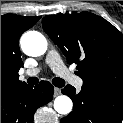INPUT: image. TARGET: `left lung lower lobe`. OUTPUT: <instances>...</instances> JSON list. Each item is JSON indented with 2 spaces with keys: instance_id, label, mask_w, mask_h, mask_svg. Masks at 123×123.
Segmentation results:
<instances>
[{
  "instance_id": "left-lung-lower-lobe-1",
  "label": "left lung lower lobe",
  "mask_w": 123,
  "mask_h": 123,
  "mask_svg": "<svg viewBox=\"0 0 123 123\" xmlns=\"http://www.w3.org/2000/svg\"><path fill=\"white\" fill-rule=\"evenodd\" d=\"M62 93L73 101V111L61 123H121L123 95L83 85L81 91L67 85Z\"/></svg>"
}]
</instances>
